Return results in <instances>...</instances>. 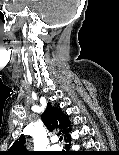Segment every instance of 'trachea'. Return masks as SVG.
<instances>
[{
  "instance_id": "trachea-1",
  "label": "trachea",
  "mask_w": 119,
  "mask_h": 155,
  "mask_svg": "<svg viewBox=\"0 0 119 155\" xmlns=\"http://www.w3.org/2000/svg\"><path fill=\"white\" fill-rule=\"evenodd\" d=\"M59 140H60V142H61V141L63 140V137H62V136H60Z\"/></svg>"
}]
</instances>
